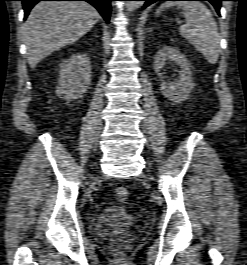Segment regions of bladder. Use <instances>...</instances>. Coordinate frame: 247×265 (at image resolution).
I'll return each instance as SVG.
<instances>
[{
  "label": "bladder",
  "mask_w": 247,
  "mask_h": 265,
  "mask_svg": "<svg viewBox=\"0 0 247 265\" xmlns=\"http://www.w3.org/2000/svg\"><path fill=\"white\" fill-rule=\"evenodd\" d=\"M137 221L135 214L120 209H106L97 222L96 231L101 235H111L119 233L132 226Z\"/></svg>",
  "instance_id": "1"
}]
</instances>
